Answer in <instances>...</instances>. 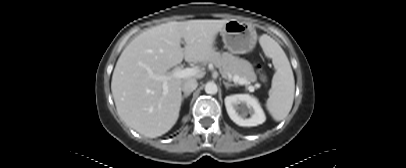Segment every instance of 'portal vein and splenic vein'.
<instances>
[{
  "label": "portal vein and splenic vein",
  "mask_w": 406,
  "mask_h": 168,
  "mask_svg": "<svg viewBox=\"0 0 406 168\" xmlns=\"http://www.w3.org/2000/svg\"><path fill=\"white\" fill-rule=\"evenodd\" d=\"M198 72L197 68H185L182 69L180 67L174 69L172 71V73L168 74V75H163V76H156L151 74L152 78L156 79V80H160L163 82V91L164 93L168 92V86H167V80L175 77V78H186L189 76H193ZM232 80L239 84V85H244V84H248V82L244 79V78H240L238 75H235ZM249 91L250 92H254L255 87L254 86H249Z\"/></svg>",
  "instance_id": "portal-vein-and-splenic-vein-1"
}]
</instances>
